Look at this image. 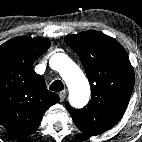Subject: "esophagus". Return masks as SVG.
I'll return each mask as SVG.
<instances>
[{"instance_id": "1", "label": "esophagus", "mask_w": 142, "mask_h": 142, "mask_svg": "<svg viewBox=\"0 0 142 142\" xmlns=\"http://www.w3.org/2000/svg\"><path fill=\"white\" fill-rule=\"evenodd\" d=\"M60 102H63L66 97V90H63L59 93Z\"/></svg>"}]
</instances>
